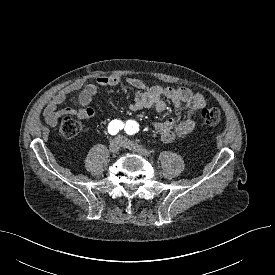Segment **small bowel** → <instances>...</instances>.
Wrapping results in <instances>:
<instances>
[{"mask_svg": "<svg viewBox=\"0 0 275 275\" xmlns=\"http://www.w3.org/2000/svg\"><path fill=\"white\" fill-rule=\"evenodd\" d=\"M121 82L118 76H104L97 79L96 83L84 85L82 80H76L58 90L48 102L44 116L48 124L55 125L59 118L66 115H74L82 120H88L95 115V109L91 101L100 87H114ZM126 83L138 89L134 100L130 105L132 111L153 108L158 112L166 109V100L170 101L177 113L186 111L187 116L182 121L176 117L153 123V128L166 142H172L177 136L190 134L197 125L195 114L206 106V99L200 93H194L186 87L171 88L160 85L149 86L135 77L126 78ZM80 91L77 108H59L67 97Z\"/></svg>", "mask_w": 275, "mask_h": 275, "instance_id": "c3829d8e", "label": "small bowel"}]
</instances>
